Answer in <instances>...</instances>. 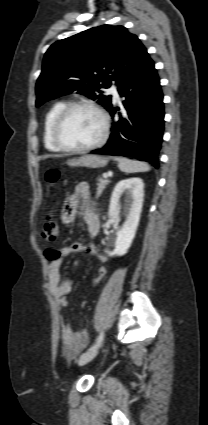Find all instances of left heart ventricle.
Returning a JSON list of instances; mask_svg holds the SVG:
<instances>
[{
  "label": "left heart ventricle",
  "mask_w": 208,
  "mask_h": 425,
  "mask_svg": "<svg viewBox=\"0 0 208 425\" xmlns=\"http://www.w3.org/2000/svg\"><path fill=\"white\" fill-rule=\"evenodd\" d=\"M102 131L100 117L93 111L85 108L73 110L65 120L60 139L71 147H84L95 142Z\"/></svg>",
  "instance_id": "obj_1"
}]
</instances>
